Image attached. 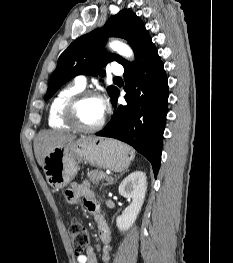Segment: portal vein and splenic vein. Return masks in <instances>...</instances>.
I'll use <instances>...</instances> for the list:
<instances>
[{
	"label": "portal vein and splenic vein",
	"instance_id": "18ae733b",
	"mask_svg": "<svg viewBox=\"0 0 233 263\" xmlns=\"http://www.w3.org/2000/svg\"><path fill=\"white\" fill-rule=\"evenodd\" d=\"M107 180H108V181H111V180H112V178H111V177H109Z\"/></svg>",
	"mask_w": 233,
	"mask_h": 263
}]
</instances>
